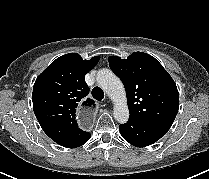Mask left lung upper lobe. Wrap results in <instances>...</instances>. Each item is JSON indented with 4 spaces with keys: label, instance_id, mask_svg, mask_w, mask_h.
<instances>
[{
    "label": "left lung upper lobe",
    "instance_id": "obj_1",
    "mask_svg": "<svg viewBox=\"0 0 209 179\" xmlns=\"http://www.w3.org/2000/svg\"><path fill=\"white\" fill-rule=\"evenodd\" d=\"M108 61L125 86L130 118L169 130L178 113L179 95L163 66L143 52L127 59L111 56Z\"/></svg>",
    "mask_w": 209,
    "mask_h": 179
}]
</instances>
